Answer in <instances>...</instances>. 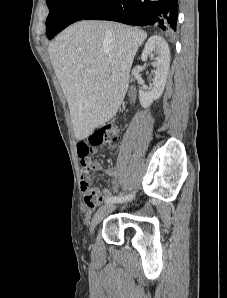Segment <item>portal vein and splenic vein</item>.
I'll return each mask as SVG.
<instances>
[{
    "label": "portal vein and splenic vein",
    "mask_w": 227,
    "mask_h": 298,
    "mask_svg": "<svg viewBox=\"0 0 227 298\" xmlns=\"http://www.w3.org/2000/svg\"><path fill=\"white\" fill-rule=\"evenodd\" d=\"M90 73L96 75L97 73L94 70H90Z\"/></svg>",
    "instance_id": "1"
}]
</instances>
